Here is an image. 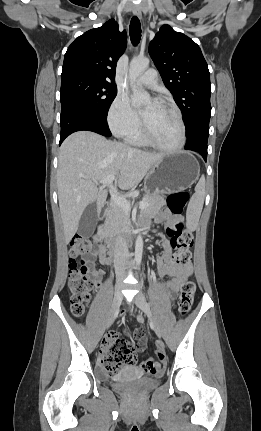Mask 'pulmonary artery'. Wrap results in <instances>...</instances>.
Here are the masks:
<instances>
[{
    "mask_svg": "<svg viewBox=\"0 0 261 431\" xmlns=\"http://www.w3.org/2000/svg\"><path fill=\"white\" fill-rule=\"evenodd\" d=\"M158 81V73L155 69H148L138 77L137 82L143 86H153Z\"/></svg>",
    "mask_w": 261,
    "mask_h": 431,
    "instance_id": "e3ab8cb5",
    "label": "pulmonary artery"
}]
</instances>
